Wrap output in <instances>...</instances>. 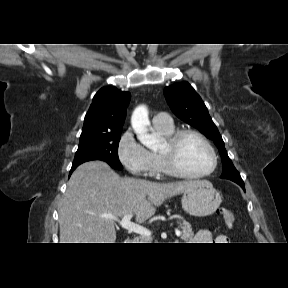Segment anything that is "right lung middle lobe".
I'll return each instance as SVG.
<instances>
[{
    "label": "right lung middle lobe",
    "instance_id": "1",
    "mask_svg": "<svg viewBox=\"0 0 288 288\" xmlns=\"http://www.w3.org/2000/svg\"><path fill=\"white\" fill-rule=\"evenodd\" d=\"M121 132L101 137L80 140L72 167L91 160H102L115 169H122L118 158V145Z\"/></svg>",
    "mask_w": 288,
    "mask_h": 288
}]
</instances>
